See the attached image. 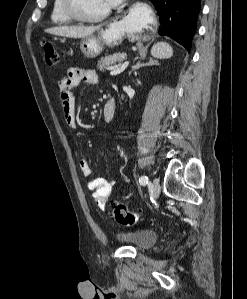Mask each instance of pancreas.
<instances>
[{
    "mask_svg": "<svg viewBox=\"0 0 247 299\" xmlns=\"http://www.w3.org/2000/svg\"><path fill=\"white\" fill-rule=\"evenodd\" d=\"M126 58L125 53H115L113 55L106 56L101 58L98 61L97 67L100 71L111 67L112 65L122 62Z\"/></svg>",
    "mask_w": 247,
    "mask_h": 299,
    "instance_id": "cf45deb5",
    "label": "pancreas"
}]
</instances>
